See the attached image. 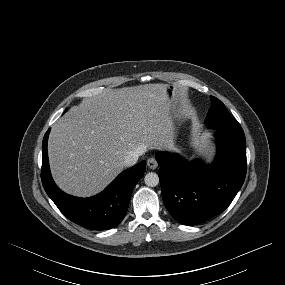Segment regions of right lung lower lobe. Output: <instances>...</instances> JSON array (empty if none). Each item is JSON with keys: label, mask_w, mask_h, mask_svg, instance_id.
Returning <instances> with one entry per match:
<instances>
[{"label": "right lung lower lobe", "mask_w": 285, "mask_h": 285, "mask_svg": "<svg viewBox=\"0 0 285 285\" xmlns=\"http://www.w3.org/2000/svg\"><path fill=\"white\" fill-rule=\"evenodd\" d=\"M49 132L50 129L43 138L41 168V180L48 196L69 220L85 228L105 230L117 226L127 212L135 185L144 175L146 162L123 171L96 196L74 197L61 191L52 179L47 154Z\"/></svg>", "instance_id": "1"}]
</instances>
